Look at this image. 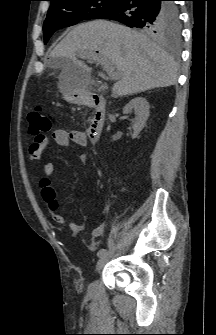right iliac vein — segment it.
I'll use <instances>...</instances> for the list:
<instances>
[{"label":"right iliac vein","mask_w":216,"mask_h":335,"mask_svg":"<svg viewBox=\"0 0 216 335\" xmlns=\"http://www.w3.org/2000/svg\"><path fill=\"white\" fill-rule=\"evenodd\" d=\"M114 250L107 251L103 256L99 258L96 264V272H99L103 266L112 258ZM96 283L92 282L88 287V295H92L95 290Z\"/></svg>","instance_id":"1"}]
</instances>
